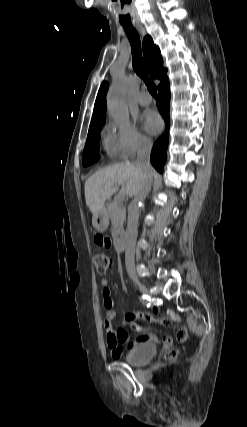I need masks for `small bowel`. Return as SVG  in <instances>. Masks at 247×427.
I'll use <instances>...</instances> for the list:
<instances>
[{
    "mask_svg": "<svg viewBox=\"0 0 247 427\" xmlns=\"http://www.w3.org/2000/svg\"><path fill=\"white\" fill-rule=\"evenodd\" d=\"M96 246H99L102 250H109L112 247V240L109 237L105 236L104 233H99L94 240ZM103 286V305L105 308L104 314V329L106 332L108 347L111 350V353L114 357H119L123 353V345L127 346V349H132L136 344L129 341V336L126 331V326L136 328L139 332L138 343H149L155 342L157 337L155 334L145 330L143 328H138L135 324V321L139 318L145 319L151 322H158L165 326H171L176 333L177 339L181 342L185 341L188 337V332L181 323V318L175 314L173 311L168 310L166 314L162 317L158 316L159 309L157 307L153 308V313L146 312H133L128 313L125 316L124 322L122 325L115 331L113 328V320L115 318L114 300L111 296V291L109 288V281L107 279L102 280ZM162 342L165 345L172 343V339L169 336H164Z\"/></svg>",
    "mask_w": 247,
    "mask_h": 427,
    "instance_id": "1",
    "label": "small bowel"
}]
</instances>
